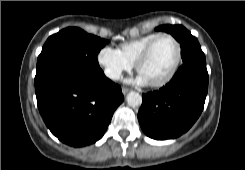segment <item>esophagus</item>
I'll use <instances>...</instances> for the list:
<instances>
[{"label": "esophagus", "instance_id": "esophagus-1", "mask_svg": "<svg viewBox=\"0 0 245 170\" xmlns=\"http://www.w3.org/2000/svg\"><path fill=\"white\" fill-rule=\"evenodd\" d=\"M128 92H129V89L128 88H125V87L122 88V93L124 95L127 94Z\"/></svg>", "mask_w": 245, "mask_h": 170}]
</instances>
